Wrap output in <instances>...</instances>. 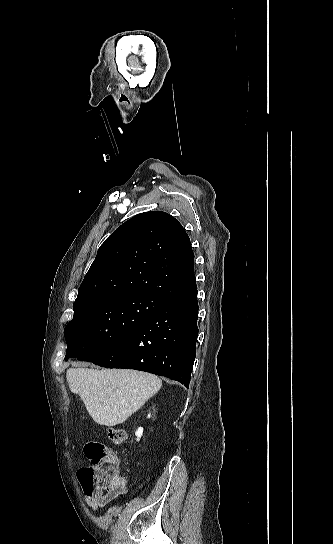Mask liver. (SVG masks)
Returning <instances> with one entry per match:
<instances>
[{"instance_id": "1", "label": "liver", "mask_w": 333, "mask_h": 544, "mask_svg": "<svg viewBox=\"0 0 333 544\" xmlns=\"http://www.w3.org/2000/svg\"><path fill=\"white\" fill-rule=\"evenodd\" d=\"M66 379L92 419L104 426L123 423L162 386L153 374L123 369L70 368Z\"/></svg>"}]
</instances>
